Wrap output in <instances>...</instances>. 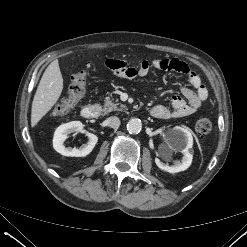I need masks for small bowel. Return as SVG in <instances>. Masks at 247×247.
<instances>
[{
  "label": "small bowel",
  "mask_w": 247,
  "mask_h": 247,
  "mask_svg": "<svg viewBox=\"0 0 247 247\" xmlns=\"http://www.w3.org/2000/svg\"><path fill=\"white\" fill-rule=\"evenodd\" d=\"M106 66L118 77L132 79L135 77H145L151 68L174 71L185 74L192 88L182 87L183 97L174 95L171 97L170 105L154 106L150 113L158 119H170L185 117L194 114L206 100L208 91L202 83L200 76L191 70L189 66L176 58H159L152 61L143 60L137 67L131 66L128 62L119 59H110L106 61Z\"/></svg>",
  "instance_id": "1"
}]
</instances>
